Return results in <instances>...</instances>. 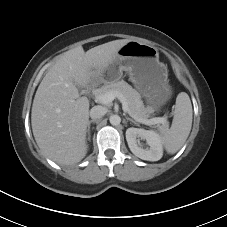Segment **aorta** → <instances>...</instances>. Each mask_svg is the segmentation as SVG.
Segmentation results:
<instances>
[{
  "mask_svg": "<svg viewBox=\"0 0 227 227\" xmlns=\"http://www.w3.org/2000/svg\"><path fill=\"white\" fill-rule=\"evenodd\" d=\"M109 121L113 126H117L120 124L121 118L118 115H112L110 116Z\"/></svg>",
  "mask_w": 227,
  "mask_h": 227,
  "instance_id": "762f6f07",
  "label": "aorta"
}]
</instances>
